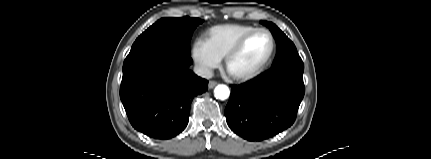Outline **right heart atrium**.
I'll list each match as a JSON object with an SVG mask.
<instances>
[{"instance_id": "d8ad5b80", "label": "right heart atrium", "mask_w": 431, "mask_h": 159, "mask_svg": "<svg viewBox=\"0 0 431 159\" xmlns=\"http://www.w3.org/2000/svg\"><path fill=\"white\" fill-rule=\"evenodd\" d=\"M190 53L199 72L205 77L210 76L212 71L221 63L222 58L212 50L206 40L201 38L193 41Z\"/></svg>"}]
</instances>
